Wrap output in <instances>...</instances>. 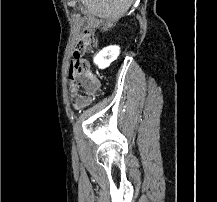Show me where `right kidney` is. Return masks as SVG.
Returning <instances> with one entry per match:
<instances>
[{
	"mask_svg": "<svg viewBox=\"0 0 217 202\" xmlns=\"http://www.w3.org/2000/svg\"><path fill=\"white\" fill-rule=\"evenodd\" d=\"M119 54V46H107V48H103V50L95 56L94 62L99 68H107V66H110L111 62H114V60L118 58Z\"/></svg>",
	"mask_w": 217,
	"mask_h": 202,
	"instance_id": "1",
	"label": "right kidney"
}]
</instances>
